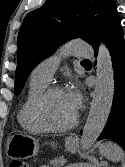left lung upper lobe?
Here are the masks:
<instances>
[{
	"instance_id": "obj_1",
	"label": "left lung upper lobe",
	"mask_w": 125,
	"mask_h": 167,
	"mask_svg": "<svg viewBox=\"0 0 125 167\" xmlns=\"http://www.w3.org/2000/svg\"><path fill=\"white\" fill-rule=\"evenodd\" d=\"M119 18L114 0H46L29 12L18 33L14 93L18 94L31 70L74 38L94 46Z\"/></svg>"
}]
</instances>
